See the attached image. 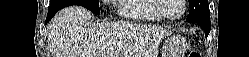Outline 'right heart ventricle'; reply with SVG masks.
Listing matches in <instances>:
<instances>
[{
	"label": "right heart ventricle",
	"mask_w": 249,
	"mask_h": 57,
	"mask_svg": "<svg viewBox=\"0 0 249 57\" xmlns=\"http://www.w3.org/2000/svg\"><path fill=\"white\" fill-rule=\"evenodd\" d=\"M155 0H121L119 13L133 21H159L161 15L154 9Z\"/></svg>",
	"instance_id": "right-heart-ventricle-1"
}]
</instances>
